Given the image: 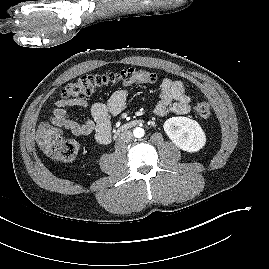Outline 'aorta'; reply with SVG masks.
Instances as JSON below:
<instances>
[{
	"label": "aorta",
	"instance_id": "obj_1",
	"mask_svg": "<svg viewBox=\"0 0 269 269\" xmlns=\"http://www.w3.org/2000/svg\"><path fill=\"white\" fill-rule=\"evenodd\" d=\"M145 134V131L143 128L141 127H136L134 130H133V135L134 137L136 138H142Z\"/></svg>",
	"mask_w": 269,
	"mask_h": 269
}]
</instances>
